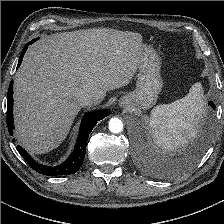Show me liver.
Here are the masks:
<instances>
[{
  "label": "liver",
  "mask_w": 224,
  "mask_h": 224,
  "mask_svg": "<svg viewBox=\"0 0 224 224\" xmlns=\"http://www.w3.org/2000/svg\"><path fill=\"white\" fill-rule=\"evenodd\" d=\"M140 34L113 29L56 33L34 43L15 75L16 137L31 154L57 148L81 109L127 85L143 56Z\"/></svg>",
  "instance_id": "liver-1"
}]
</instances>
